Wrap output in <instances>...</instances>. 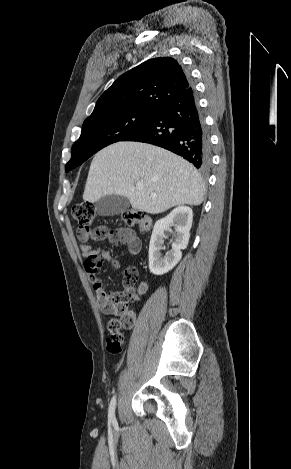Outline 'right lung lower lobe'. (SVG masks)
I'll return each mask as SVG.
<instances>
[{"label": "right lung lower lobe", "mask_w": 291, "mask_h": 469, "mask_svg": "<svg viewBox=\"0 0 291 469\" xmlns=\"http://www.w3.org/2000/svg\"><path fill=\"white\" fill-rule=\"evenodd\" d=\"M122 141L163 147L200 170H207L211 163L209 136L191 85L162 101L150 118Z\"/></svg>", "instance_id": "98d812e1"}]
</instances>
